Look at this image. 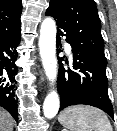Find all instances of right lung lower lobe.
Wrapping results in <instances>:
<instances>
[{"mask_svg":"<svg viewBox=\"0 0 117 131\" xmlns=\"http://www.w3.org/2000/svg\"><path fill=\"white\" fill-rule=\"evenodd\" d=\"M21 32L0 41V106L18 121L17 98L15 96L18 68L15 64Z\"/></svg>","mask_w":117,"mask_h":131,"instance_id":"98d812e1","label":"right lung lower lobe"}]
</instances>
